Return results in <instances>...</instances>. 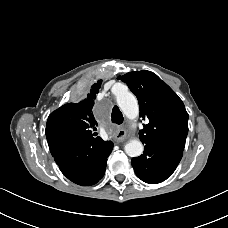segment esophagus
<instances>
[{
	"instance_id": "1",
	"label": "esophagus",
	"mask_w": 228,
	"mask_h": 228,
	"mask_svg": "<svg viewBox=\"0 0 228 228\" xmlns=\"http://www.w3.org/2000/svg\"><path fill=\"white\" fill-rule=\"evenodd\" d=\"M126 136H127L126 130L124 128H120L115 135V139L118 142H122L126 139Z\"/></svg>"
}]
</instances>
